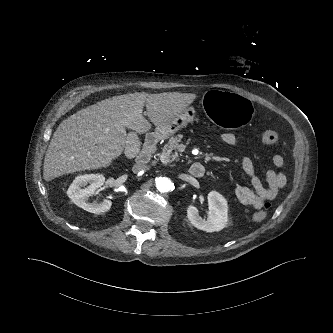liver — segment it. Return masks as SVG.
I'll return each mask as SVG.
<instances>
[{
  "label": "liver",
  "instance_id": "1",
  "mask_svg": "<svg viewBox=\"0 0 333 333\" xmlns=\"http://www.w3.org/2000/svg\"><path fill=\"white\" fill-rule=\"evenodd\" d=\"M191 93H131L114 96L88 106L65 119L56 129L47 149L43 177L100 169L118 158L127 144L126 127L143 134L162 126L184 112L195 100Z\"/></svg>",
  "mask_w": 333,
  "mask_h": 333
}]
</instances>
